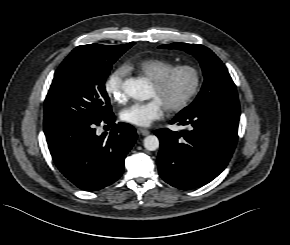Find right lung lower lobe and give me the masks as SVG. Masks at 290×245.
Wrapping results in <instances>:
<instances>
[{
  "mask_svg": "<svg viewBox=\"0 0 290 245\" xmlns=\"http://www.w3.org/2000/svg\"><path fill=\"white\" fill-rule=\"evenodd\" d=\"M111 112L103 120L48 124L44 132L58 169L83 190L102 189L120 178L126 154L137 134L127 123H114ZM100 123L112 125L109 134L96 135Z\"/></svg>",
  "mask_w": 290,
  "mask_h": 245,
  "instance_id": "98d812e1",
  "label": "right lung lower lobe"
}]
</instances>
